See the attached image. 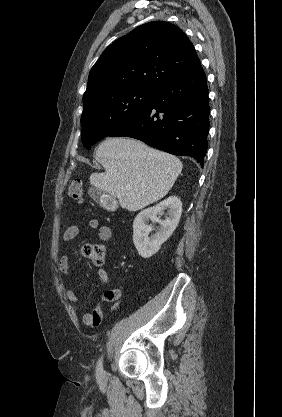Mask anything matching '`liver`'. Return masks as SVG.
Returning a JSON list of instances; mask_svg holds the SVG:
<instances>
[{
  "instance_id": "1",
  "label": "liver",
  "mask_w": 282,
  "mask_h": 417,
  "mask_svg": "<svg viewBox=\"0 0 282 417\" xmlns=\"http://www.w3.org/2000/svg\"><path fill=\"white\" fill-rule=\"evenodd\" d=\"M96 160L105 172H92L90 184L116 196L127 211H140L163 198L183 168L177 156L129 136L103 140Z\"/></svg>"
}]
</instances>
